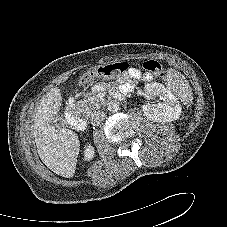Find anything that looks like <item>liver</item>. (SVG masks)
Instances as JSON below:
<instances>
[{"label": "liver", "instance_id": "liver-1", "mask_svg": "<svg viewBox=\"0 0 227 227\" xmlns=\"http://www.w3.org/2000/svg\"><path fill=\"white\" fill-rule=\"evenodd\" d=\"M61 102L57 87L42 97L34 115L33 135L42 162L54 173L70 178L75 173L80 143L72 130L50 124L57 120Z\"/></svg>", "mask_w": 227, "mask_h": 227}]
</instances>
